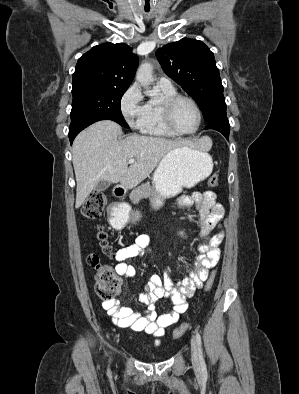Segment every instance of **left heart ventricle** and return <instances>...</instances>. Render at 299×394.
Masks as SVG:
<instances>
[{
	"instance_id": "obj_1",
	"label": "left heart ventricle",
	"mask_w": 299,
	"mask_h": 394,
	"mask_svg": "<svg viewBox=\"0 0 299 394\" xmlns=\"http://www.w3.org/2000/svg\"><path fill=\"white\" fill-rule=\"evenodd\" d=\"M173 118L176 127L184 132L192 131L198 122L195 108L185 100L180 101L176 105Z\"/></svg>"
}]
</instances>
